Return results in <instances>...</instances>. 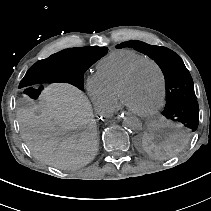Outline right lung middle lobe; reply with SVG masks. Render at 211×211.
Segmentation results:
<instances>
[{"mask_svg":"<svg viewBox=\"0 0 211 211\" xmlns=\"http://www.w3.org/2000/svg\"><path fill=\"white\" fill-rule=\"evenodd\" d=\"M107 47L70 48L38 61L27 73L33 83L67 82L83 89L85 71L101 57Z\"/></svg>","mask_w":211,"mask_h":211,"instance_id":"obj_1","label":"right lung middle lobe"}]
</instances>
